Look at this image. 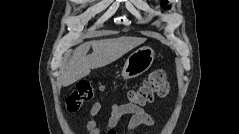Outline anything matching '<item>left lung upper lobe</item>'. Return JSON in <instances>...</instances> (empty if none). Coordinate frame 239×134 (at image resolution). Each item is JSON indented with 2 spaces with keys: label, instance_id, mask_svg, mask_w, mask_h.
<instances>
[{
  "label": "left lung upper lobe",
  "instance_id": "5c2ea615",
  "mask_svg": "<svg viewBox=\"0 0 239 134\" xmlns=\"http://www.w3.org/2000/svg\"><path fill=\"white\" fill-rule=\"evenodd\" d=\"M166 4H167V1L164 0V1L162 2V5H166ZM166 8H169V7H166Z\"/></svg>",
  "mask_w": 239,
  "mask_h": 134
}]
</instances>
